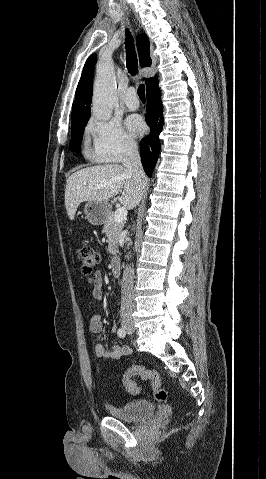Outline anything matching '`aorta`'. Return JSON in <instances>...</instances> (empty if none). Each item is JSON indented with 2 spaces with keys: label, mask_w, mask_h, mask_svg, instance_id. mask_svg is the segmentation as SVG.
<instances>
[{
  "label": "aorta",
  "mask_w": 266,
  "mask_h": 479,
  "mask_svg": "<svg viewBox=\"0 0 266 479\" xmlns=\"http://www.w3.org/2000/svg\"><path fill=\"white\" fill-rule=\"evenodd\" d=\"M116 102L117 94L113 65L110 62H102L98 66L97 77L94 84L93 116L102 121L109 120Z\"/></svg>",
  "instance_id": "aorta-1"
}]
</instances>
